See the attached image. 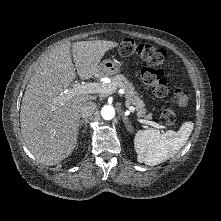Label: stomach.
I'll return each mask as SVG.
<instances>
[{
    "mask_svg": "<svg viewBox=\"0 0 221 221\" xmlns=\"http://www.w3.org/2000/svg\"><path fill=\"white\" fill-rule=\"evenodd\" d=\"M121 71V63L116 60L106 59L100 64L98 74L101 76L115 75Z\"/></svg>",
    "mask_w": 221,
    "mask_h": 221,
    "instance_id": "0dacf381",
    "label": "stomach"
}]
</instances>
